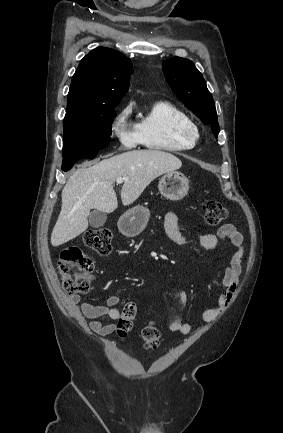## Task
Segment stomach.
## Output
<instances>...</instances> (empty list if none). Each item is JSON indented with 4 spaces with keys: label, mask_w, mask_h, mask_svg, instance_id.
I'll return each mask as SVG.
<instances>
[{
    "label": "stomach",
    "mask_w": 283,
    "mask_h": 433,
    "mask_svg": "<svg viewBox=\"0 0 283 433\" xmlns=\"http://www.w3.org/2000/svg\"><path fill=\"white\" fill-rule=\"evenodd\" d=\"M158 188L165 198L181 200L189 190V180L182 172L172 170V172H166L161 176ZM149 217V208H146V206H133L120 217L117 223L118 229L125 237H136V235H140L144 231Z\"/></svg>",
    "instance_id": "0dacf381"
}]
</instances>
